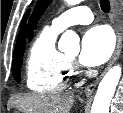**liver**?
Returning <instances> with one entry per match:
<instances>
[{"label":"liver","instance_id":"1","mask_svg":"<svg viewBox=\"0 0 123 113\" xmlns=\"http://www.w3.org/2000/svg\"><path fill=\"white\" fill-rule=\"evenodd\" d=\"M74 103L71 93L15 96L11 106L22 113H69Z\"/></svg>","mask_w":123,"mask_h":113}]
</instances>
